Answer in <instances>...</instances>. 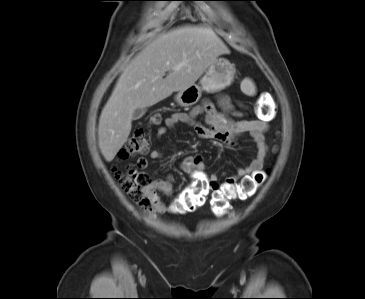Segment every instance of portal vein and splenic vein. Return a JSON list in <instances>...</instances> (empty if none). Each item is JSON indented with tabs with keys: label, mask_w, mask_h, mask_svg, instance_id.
<instances>
[{
	"label": "portal vein and splenic vein",
	"mask_w": 365,
	"mask_h": 299,
	"mask_svg": "<svg viewBox=\"0 0 365 299\" xmlns=\"http://www.w3.org/2000/svg\"><path fill=\"white\" fill-rule=\"evenodd\" d=\"M174 69H175V70H178V69H180V66H176Z\"/></svg>",
	"instance_id": "portal-vein-and-splenic-vein-1"
}]
</instances>
